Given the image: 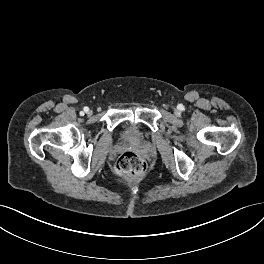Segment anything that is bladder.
<instances>
[{
	"instance_id": "1",
	"label": "bladder",
	"mask_w": 264,
	"mask_h": 264,
	"mask_svg": "<svg viewBox=\"0 0 264 264\" xmlns=\"http://www.w3.org/2000/svg\"><path fill=\"white\" fill-rule=\"evenodd\" d=\"M118 134L122 141L133 145L142 144L148 137L140 124L131 121L122 122Z\"/></svg>"
}]
</instances>
